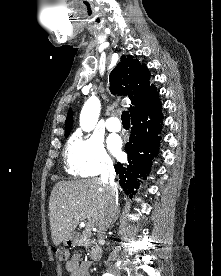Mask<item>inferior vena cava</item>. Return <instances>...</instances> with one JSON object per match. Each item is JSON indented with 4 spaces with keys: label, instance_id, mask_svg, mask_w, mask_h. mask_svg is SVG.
Here are the masks:
<instances>
[{
    "label": "inferior vena cava",
    "instance_id": "inferior-vena-cava-1",
    "mask_svg": "<svg viewBox=\"0 0 221 276\" xmlns=\"http://www.w3.org/2000/svg\"><path fill=\"white\" fill-rule=\"evenodd\" d=\"M114 178V166L112 163H108L101 172V182L107 186V201L105 210L98 223L97 238L100 245L104 243V235L118 213V189Z\"/></svg>",
    "mask_w": 221,
    "mask_h": 276
}]
</instances>
